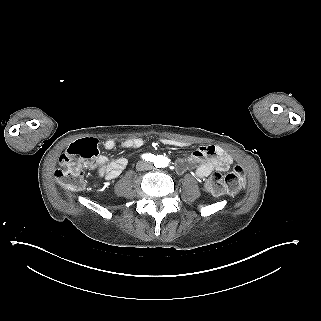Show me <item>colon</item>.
I'll return each mask as SVG.
<instances>
[{"label": "colon", "mask_w": 321, "mask_h": 321, "mask_svg": "<svg viewBox=\"0 0 321 321\" xmlns=\"http://www.w3.org/2000/svg\"><path fill=\"white\" fill-rule=\"evenodd\" d=\"M99 154L95 139H85L72 143L59 158V167L54 172L57 183L68 190H81L86 184L84 170L77 164L79 159H94ZM245 176L240 165L227 174L215 172L207 180L206 187L215 195L233 196L243 187Z\"/></svg>", "instance_id": "colon-1"}]
</instances>
